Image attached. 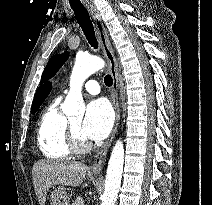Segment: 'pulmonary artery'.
I'll list each match as a JSON object with an SVG mask.
<instances>
[{
	"label": "pulmonary artery",
	"instance_id": "1",
	"mask_svg": "<svg viewBox=\"0 0 212 205\" xmlns=\"http://www.w3.org/2000/svg\"><path fill=\"white\" fill-rule=\"evenodd\" d=\"M84 90L92 95H96L100 92V86L97 81L89 80L84 84ZM68 90L64 91V94H67Z\"/></svg>",
	"mask_w": 212,
	"mask_h": 205
}]
</instances>
